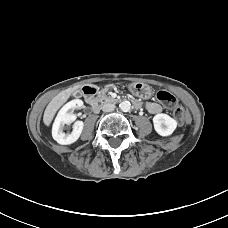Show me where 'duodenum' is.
<instances>
[{
  "mask_svg": "<svg viewBox=\"0 0 228 228\" xmlns=\"http://www.w3.org/2000/svg\"><path fill=\"white\" fill-rule=\"evenodd\" d=\"M83 94L91 108L95 111L98 110L99 102L96 97L97 88L94 85H86L83 87Z\"/></svg>",
  "mask_w": 228,
  "mask_h": 228,
  "instance_id": "410a0bca",
  "label": "duodenum"
}]
</instances>
